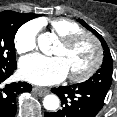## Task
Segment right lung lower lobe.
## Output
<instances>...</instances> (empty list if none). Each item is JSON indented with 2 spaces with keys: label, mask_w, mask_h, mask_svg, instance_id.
Here are the masks:
<instances>
[{
  "label": "right lung lower lobe",
  "mask_w": 117,
  "mask_h": 117,
  "mask_svg": "<svg viewBox=\"0 0 117 117\" xmlns=\"http://www.w3.org/2000/svg\"><path fill=\"white\" fill-rule=\"evenodd\" d=\"M17 65L0 69V117H14L16 114V97L21 92H30L32 86L26 82L5 85V80L10 77Z\"/></svg>",
  "instance_id": "right-lung-lower-lobe-1"
}]
</instances>
